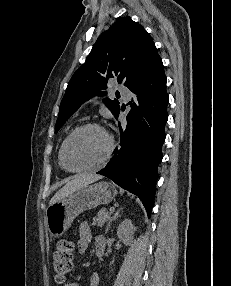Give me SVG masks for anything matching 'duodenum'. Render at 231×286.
Here are the masks:
<instances>
[{"label": "duodenum", "instance_id": "1", "mask_svg": "<svg viewBox=\"0 0 231 286\" xmlns=\"http://www.w3.org/2000/svg\"><path fill=\"white\" fill-rule=\"evenodd\" d=\"M104 247H105L104 239L98 241L97 247H96V249H97V255H98V256L101 257V256L103 255V253H104Z\"/></svg>", "mask_w": 231, "mask_h": 286}]
</instances>
